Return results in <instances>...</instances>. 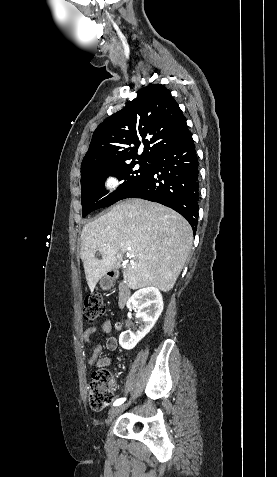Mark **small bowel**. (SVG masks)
I'll return each mask as SVG.
<instances>
[{
	"label": "small bowel",
	"instance_id": "small-bowel-1",
	"mask_svg": "<svg viewBox=\"0 0 277 477\" xmlns=\"http://www.w3.org/2000/svg\"><path fill=\"white\" fill-rule=\"evenodd\" d=\"M120 332L122 330V323L116 322L112 323L110 319L104 321L102 325V331L109 335L111 331ZM96 329L94 327L87 328L83 332V339L88 344L89 347V365L95 369H103L111 364V357L102 356L103 347L101 344L94 343L92 340V335L95 333ZM105 347L108 351H115L118 348V340L115 336H108L106 338Z\"/></svg>",
	"mask_w": 277,
	"mask_h": 477
}]
</instances>
